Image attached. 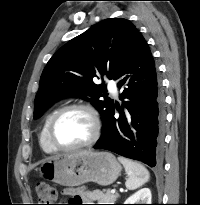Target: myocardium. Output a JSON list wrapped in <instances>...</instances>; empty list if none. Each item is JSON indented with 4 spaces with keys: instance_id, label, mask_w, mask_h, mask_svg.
<instances>
[{
    "instance_id": "1",
    "label": "myocardium",
    "mask_w": 200,
    "mask_h": 205,
    "mask_svg": "<svg viewBox=\"0 0 200 205\" xmlns=\"http://www.w3.org/2000/svg\"><path fill=\"white\" fill-rule=\"evenodd\" d=\"M70 110H83V111H85L90 117V120L92 123V132H91L90 137L87 140H85L84 142H81L79 144L72 145V146H62V145L58 144L54 138V135H53L54 126H55L57 120L64 113H66L67 111H70ZM101 132H102V120H101V117H100L98 110L93 105H91L89 103L75 102V103L65 105L56 111V113L52 116V118L49 122L48 129H47V136H48V140H49L50 144L53 146V148L55 150L74 151V150L82 149V148L89 147V146L95 144L99 140V138L101 136Z\"/></svg>"
}]
</instances>
